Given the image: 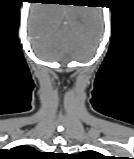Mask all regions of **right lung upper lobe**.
I'll list each match as a JSON object with an SVG mask.
<instances>
[{
  "label": "right lung upper lobe",
  "instance_id": "1",
  "mask_svg": "<svg viewBox=\"0 0 134 159\" xmlns=\"http://www.w3.org/2000/svg\"><path fill=\"white\" fill-rule=\"evenodd\" d=\"M18 151L20 152H24V153H29V152H35V150L31 147H27V146H20L16 148Z\"/></svg>",
  "mask_w": 134,
  "mask_h": 159
}]
</instances>
